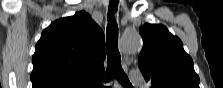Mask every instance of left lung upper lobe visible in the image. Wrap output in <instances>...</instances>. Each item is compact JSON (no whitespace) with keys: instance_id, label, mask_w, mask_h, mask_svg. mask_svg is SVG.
<instances>
[{"instance_id":"left-lung-upper-lobe-1","label":"left lung upper lobe","mask_w":223,"mask_h":88,"mask_svg":"<svg viewBox=\"0 0 223 88\" xmlns=\"http://www.w3.org/2000/svg\"><path fill=\"white\" fill-rule=\"evenodd\" d=\"M138 66L152 88H199L200 79L181 40L163 25L144 24Z\"/></svg>"}]
</instances>
